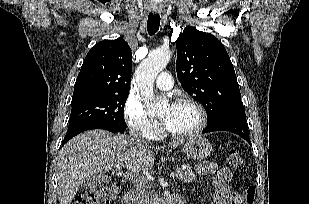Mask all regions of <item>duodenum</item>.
Segmentation results:
<instances>
[{
  "instance_id": "obj_1",
  "label": "duodenum",
  "mask_w": 309,
  "mask_h": 204,
  "mask_svg": "<svg viewBox=\"0 0 309 204\" xmlns=\"http://www.w3.org/2000/svg\"><path fill=\"white\" fill-rule=\"evenodd\" d=\"M130 192H126L125 195H124V198H123V202L124 204H128L129 200H130Z\"/></svg>"
}]
</instances>
